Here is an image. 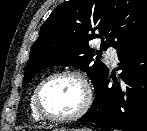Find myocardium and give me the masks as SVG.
Here are the masks:
<instances>
[{"label":"myocardium","mask_w":147,"mask_h":131,"mask_svg":"<svg viewBox=\"0 0 147 131\" xmlns=\"http://www.w3.org/2000/svg\"><path fill=\"white\" fill-rule=\"evenodd\" d=\"M62 76L75 77L82 83L84 90H85V101H84L83 105L80 107V109H78L76 112H74L72 114L54 115V114L49 113L44 108V106L42 104V99H41L42 92H43L44 87L51 80L58 78V77H62ZM33 101H34V105H35V108H36L38 114L44 120H48V121H52V122H69V121L79 119L80 117H82L83 115H85L88 112V110L90 109V107L92 105L93 93H92V89H91V86H90L88 79L86 78V76L82 72H80L78 70H74V69H64V70L56 71V72L49 74L48 76H46L45 78H43L39 82V84L37 85V87L34 90Z\"/></svg>","instance_id":"f54148a6"}]
</instances>
